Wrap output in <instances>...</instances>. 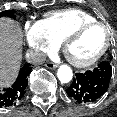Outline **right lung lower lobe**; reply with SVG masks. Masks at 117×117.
Instances as JSON below:
<instances>
[{
  "label": "right lung lower lobe",
  "mask_w": 117,
  "mask_h": 117,
  "mask_svg": "<svg viewBox=\"0 0 117 117\" xmlns=\"http://www.w3.org/2000/svg\"><path fill=\"white\" fill-rule=\"evenodd\" d=\"M32 70L29 63L19 71V75L11 88L0 90V108H6L18 103L26 93L28 76Z\"/></svg>",
  "instance_id": "1"
}]
</instances>
